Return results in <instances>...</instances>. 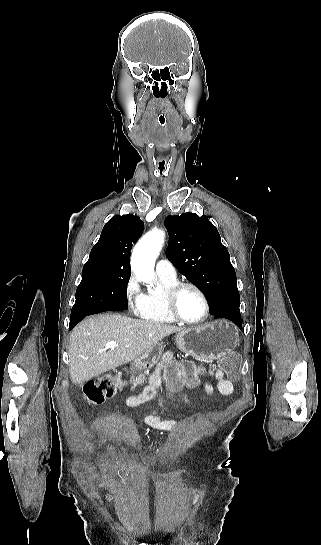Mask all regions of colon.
I'll return each instance as SVG.
<instances>
[{"mask_svg": "<svg viewBox=\"0 0 321 545\" xmlns=\"http://www.w3.org/2000/svg\"><path fill=\"white\" fill-rule=\"evenodd\" d=\"M238 365L239 359L236 355L231 354L225 357L221 362L220 366L225 371V373L232 379L238 377ZM186 371L188 373V385L194 387L198 384L197 371L192 364H186ZM181 385V381L178 379H172L171 386L177 388ZM119 388L118 383H116L111 377H100L96 380L88 381L83 386V396L84 398L93 405H99L103 403L106 399L114 396Z\"/></svg>", "mask_w": 321, "mask_h": 545, "instance_id": "5ec220e1", "label": "colon"}]
</instances>
